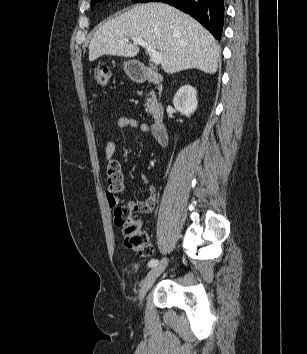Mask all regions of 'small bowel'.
<instances>
[{
	"mask_svg": "<svg viewBox=\"0 0 307 354\" xmlns=\"http://www.w3.org/2000/svg\"><path fill=\"white\" fill-rule=\"evenodd\" d=\"M117 126L121 129L135 128L142 134L149 133V126L146 123L139 122L131 117H120L117 120ZM116 152V143L108 139L104 144V158L106 163L107 186L105 189L108 205L113 208L119 204L117 194L123 190L124 180L120 164L114 159ZM142 180L147 182V178L142 176ZM157 201V190L150 186L146 199L138 202L129 201L126 203L134 212L150 213Z\"/></svg>",
	"mask_w": 307,
	"mask_h": 354,
	"instance_id": "c3829d8e",
	"label": "small bowel"
}]
</instances>
